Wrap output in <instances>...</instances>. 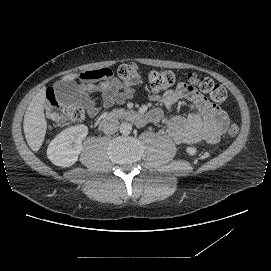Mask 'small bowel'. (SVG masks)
Wrapping results in <instances>:
<instances>
[{"label": "small bowel", "instance_id": "small-bowel-1", "mask_svg": "<svg viewBox=\"0 0 271 271\" xmlns=\"http://www.w3.org/2000/svg\"><path fill=\"white\" fill-rule=\"evenodd\" d=\"M80 78L83 81L79 89L81 102L86 105L91 115L98 111L89 99L93 92L102 93L104 108H109L115 103H123L133 96V90L123 89L120 81L112 77L109 69L85 71ZM153 99L159 100L168 109H172L180 101L189 104L190 113L186 117H165L158 109H153L148 114L151 122L166 123L167 132L176 143L190 144L199 141L215 143L228 127L229 119L222 108L209 102L190 85L179 83L174 89Z\"/></svg>", "mask_w": 271, "mask_h": 271}]
</instances>
